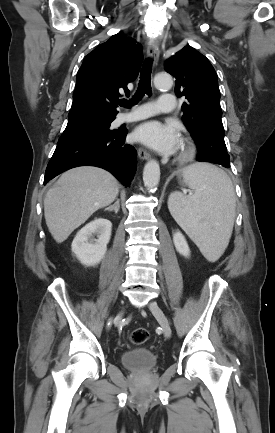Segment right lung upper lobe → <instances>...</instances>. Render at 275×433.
Masks as SVG:
<instances>
[{
	"instance_id": "cb5924a9",
	"label": "right lung upper lobe",
	"mask_w": 275,
	"mask_h": 433,
	"mask_svg": "<svg viewBox=\"0 0 275 433\" xmlns=\"http://www.w3.org/2000/svg\"><path fill=\"white\" fill-rule=\"evenodd\" d=\"M143 61L142 47L121 32L89 53L76 77L68 118L86 115L116 116L119 90L128 92Z\"/></svg>"
}]
</instances>
